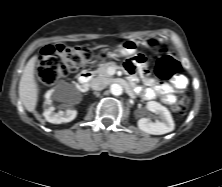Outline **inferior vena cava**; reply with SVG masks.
I'll use <instances>...</instances> for the list:
<instances>
[{
	"mask_svg": "<svg viewBox=\"0 0 222 187\" xmlns=\"http://www.w3.org/2000/svg\"><path fill=\"white\" fill-rule=\"evenodd\" d=\"M90 86L93 90H103L107 86V81L104 78L96 77L90 82Z\"/></svg>",
	"mask_w": 222,
	"mask_h": 187,
	"instance_id": "inferior-vena-cava-1",
	"label": "inferior vena cava"
}]
</instances>
